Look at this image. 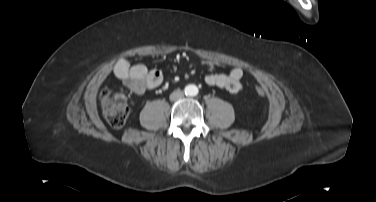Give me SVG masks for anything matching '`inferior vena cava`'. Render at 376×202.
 Returning a JSON list of instances; mask_svg holds the SVG:
<instances>
[{
    "label": "inferior vena cava",
    "mask_w": 376,
    "mask_h": 202,
    "mask_svg": "<svg viewBox=\"0 0 376 202\" xmlns=\"http://www.w3.org/2000/svg\"><path fill=\"white\" fill-rule=\"evenodd\" d=\"M183 96L184 93L180 89H177L170 94V100L175 101L181 99Z\"/></svg>",
    "instance_id": "inferior-vena-cava-1"
}]
</instances>
